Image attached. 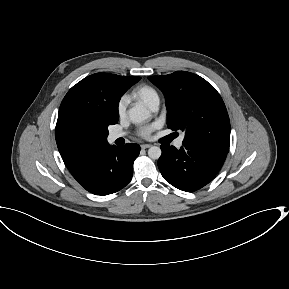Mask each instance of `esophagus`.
<instances>
[{
  "instance_id": "obj_1",
  "label": "esophagus",
  "mask_w": 289,
  "mask_h": 289,
  "mask_svg": "<svg viewBox=\"0 0 289 289\" xmlns=\"http://www.w3.org/2000/svg\"><path fill=\"white\" fill-rule=\"evenodd\" d=\"M150 147H151L150 144H142V145H141V148H142V149H147V148H150Z\"/></svg>"
}]
</instances>
